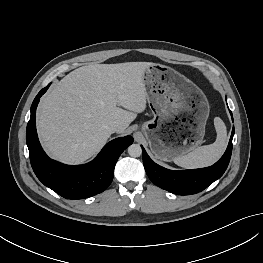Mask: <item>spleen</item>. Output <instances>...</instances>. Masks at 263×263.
I'll return each instance as SVG.
<instances>
[{
    "label": "spleen",
    "mask_w": 263,
    "mask_h": 263,
    "mask_svg": "<svg viewBox=\"0 0 263 263\" xmlns=\"http://www.w3.org/2000/svg\"><path fill=\"white\" fill-rule=\"evenodd\" d=\"M214 126L217 133L214 143L198 147L186 155L177 157L173 160L174 163L186 169L203 168L214 164L227 146V131L222 119L215 117Z\"/></svg>",
    "instance_id": "obj_1"
}]
</instances>
